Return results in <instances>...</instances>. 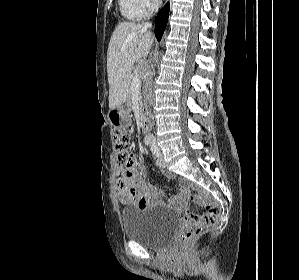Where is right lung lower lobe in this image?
<instances>
[{"label":"right lung lower lobe","instance_id":"right-lung-lower-lobe-1","mask_svg":"<svg viewBox=\"0 0 299 280\" xmlns=\"http://www.w3.org/2000/svg\"><path fill=\"white\" fill-rule=\"evenodd\" d=\"M169 15V4H166L165 7L158 13L155 21V36L158 41L161 40L163 32L166 28Z\"/></svg>","mask_w":299,"mask_h":280}]
</instances>
